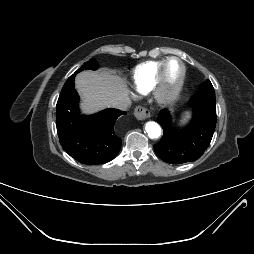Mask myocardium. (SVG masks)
I'll list each match as a JSON object with an SVG mask.
<instances>
[{"instance_id":"obj_1","label":"myocardium","mask_w":254,"mask_h":254,"mask_svg":"<svg viewBox=\"0 0 254 254\" xmlns=\"http://www.w3.org/2000/svg\"><path fill=\"white\" fill-rule=\"evenodd\" d=\"M172 61L180 64L181 72L178 80L174 84H168L166 81V69ZM186 79V66L178 57H169L164 60L158 70L154 87L152 88L155 100L161 105H168L177 100L184 87Z\"/></svg>"}]
</instances>
